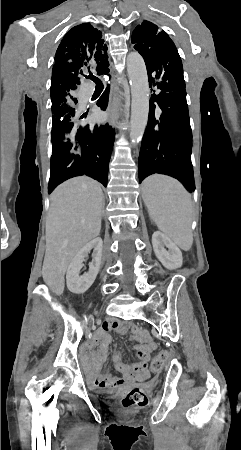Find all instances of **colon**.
<instances>
[{"label": "colon", "mask_w": 241, "mask_h": 450, "mask_svg": "<svg viewBox=\"0 0 241 450\" xmlns=\"http://www.w3.org/2000/svg\"><path fill=\"white\" fill-rule=\"evenodd\" d=\"M168 360V354L163 352L159 357L154 358L152 370L158 372ZM121 406L125 409H142L148 404V397L143 390L132 388L124 392L121 396Z\"/></svg>", "instance_id": "obj_1"}]
</instances>
